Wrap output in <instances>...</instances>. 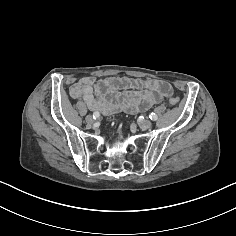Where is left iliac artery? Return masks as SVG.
Masks as SVG:
<instances>
[{
  "mask_svg": "<svg viewBox=\"0 0 236 236\" xmlns=\"http://www.w3.org/2000/svg\"><path fill=\"white\" fill-rule=\"evenodd\" d=\"M149 118L151 119V120H153V121H155V120H157V115L155 114V113H150V115H149Z\"/></svg>",
  "mask_w": 236,
  "mask_h": 236,
  "instance_id": "44dca946",
  "label": "left iliac artery"
}]
</instances>
